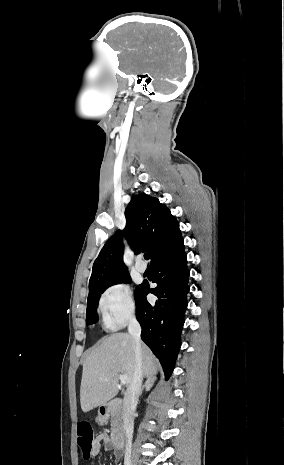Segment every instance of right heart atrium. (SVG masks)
I'll use <instances>...</instances> for the list:
<instances>
[{
  "label": "right heart atrium",
  "instance_id": "right-heart-atrium-1",
  "mask_svg": "<svg viewBox=\"0 0 284 465\" xmlns=\"http://www.w3.org/2000/svg\"><path fill=\"white\" fill-rule=\"evenodd\" d=\"M98 308L103 317L113 326L128 324L137 316V307L129 287L114 284L105 289L98 300Z\"/></svg>",
  "mask_w": 284,
  "mask_h": 465
}]
</instances>
